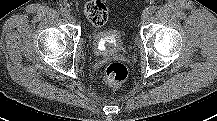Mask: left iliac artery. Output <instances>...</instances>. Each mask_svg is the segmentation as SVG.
I'll return each instance as SVG.
<instances>
[{"label":"left iliac artery","mask_w":217,"mask_h":121,"mask_svg":"<svg viewBox=\"0 0 217 121\" xmlns=\"http://www.w3.org/2000/svg\"><path fill=\"white\" fill-rule=\"evenodd\" d=\"M156 10H157V6H155V5H153V6H150V7L148 8V11L150 12V14H153V13H155V12H156Z\"/></svg>","instance_id":"obj_1"}]
</instances>
